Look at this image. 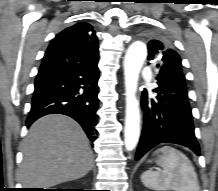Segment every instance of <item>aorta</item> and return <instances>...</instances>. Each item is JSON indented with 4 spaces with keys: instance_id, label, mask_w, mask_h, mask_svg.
I'll use <instances>...</instances> for the list:
<instances>
[{
    "instance_id": "1",
    "label": "aorta",
    "mask_w": 218,
    "mask_h": 191,
    "mask_svg": "<svg viewBox=\"0 0 218 191\" xmlns=\"http://www.w3.org/2000/svg\"><path fill=\"white\" fill-rule=\"evenodd\" d=\"M147 57V47L143 42L132 43L124 58V80H125V148L132 151L140 137V109L136 98L138 79L144 61Z\"/></svg>"
}]
</instances>
